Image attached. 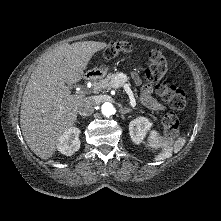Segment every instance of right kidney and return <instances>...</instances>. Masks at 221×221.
I'll use <instances>...</instances> for the list:
<instances>
[{
    "mask_svg": "<svg viewBox=\"0 0 221 221\" xmlns=\"http://www.w3.org/2000/svg\"><path fill=\"white\" fill-rule=\"evenodd\" d=\"M80 129L76 127L69 128L59 139L57 149L62 154L71 156L80 148Z\"/></svg>",
    "mask_w": 221,
    "mask_h": 221,
    "instance_id": "1",
    "label": "right kidney"
}]
</instances>
